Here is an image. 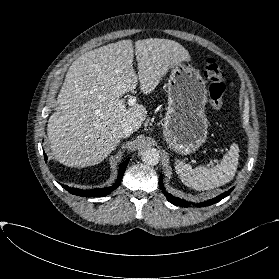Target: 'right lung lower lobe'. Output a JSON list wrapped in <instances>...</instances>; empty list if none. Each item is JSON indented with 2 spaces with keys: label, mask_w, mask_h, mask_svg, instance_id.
Instances as JSON below:
<instances>
[{
  "label": "right lung lower lobe",
  "mask_w": 279,
  "mask_h": 279,
  "mask_svg": "<svg viewBox=\"0 0 279 279\" xmlns=\"http://www.w3.org/2000/svg\"><path fill=\"white\" fill-rule=\"evenodd\" d=\"M44 158H45V160H47V156L45 153H44ZM128 162H129V158L120 164L119 176H118L116 183H114L113 186L105 187V188H96V189H91V190H81V189H77V188H71L67 185H63V184H61V185L63 188H65L71 194L78 195V196L99 197V196L109 195L113 190H115L118 186H120L122 176L125 172Z\"/></svg>",
  "instance_id": "98d812e1"
}]
</instances>
